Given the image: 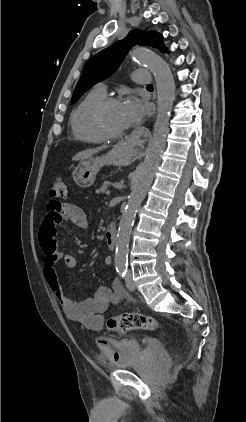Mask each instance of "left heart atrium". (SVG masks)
I'll use <instances>...</instances> for the list:
<instances>
[{"label": "left heart atrium", "mask_w": 246, "mask_h": 422, "mask_svg": "<svg viewBox=\"0 0 246 422\" xmlns=\"http://www.w3.org/2000/svg\"><path fill=\"white\" fill-rule=\"evenodd\" d=\"M123 118L126 128L141 121L144 110L138 99L129 97L122 105Z\"/></svg>", "instance_id": "1"}]
</instances>
